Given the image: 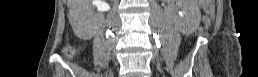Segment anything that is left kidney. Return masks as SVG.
<instances>
[{
    "mask_svg": "<svg viewBox=\"0 0 258 77\" xmlns=\"http://www.w3.org/2000/svg\"><path fill=\"white\" fill-rule=\"evenodd\" d=\"M181 2H184L183 0H180ZM184 17L181 19L180 22L184 24V27L189 23H194V11L191 10V8L185 7L184 8Z\"/></svg>",
    "mask_w": 258,
    "mask_h": 77,
    "instance_id": "5707ae66",
    "label": "left kidney"
}]
</instances>
